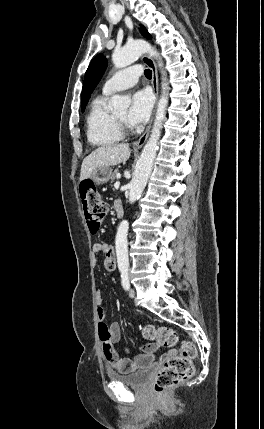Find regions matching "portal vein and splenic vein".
<instances>
[{"label": "portal vein and splenic vein", "mask_w": 264, "mask_h": 429, "mask_svg": "<svg viewBox=\"0 0 264 429\" xmlns=\"http://www.w3.org/2000/svg\"><path fill=\"white\" fill-rule=\"evenodd\" d=\"M114 187H115L116 189H118V188L120 187V182H116V183L114 184Z\"/></svg>", "instance_id": "portal-vein-and-splenic-vein-1"}]
</instances>
